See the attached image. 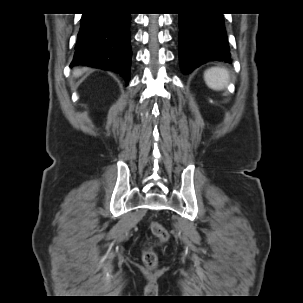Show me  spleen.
<instances>
[{
    "instance_id": "obj_1",
    "label": "spleen",
    "mask_w": 303,
    "mask_h": 303,
    "mask_svg": "<svg viewBox=\"0 0 303 303\" xmlns=\"http://www.w3.org/2000/svg\"><path fill=\"white\" fill-rule=\"evenodd\" d=\"M204 80L209 88L219 91L229 82V73L224 68L212 67L205 71Z\"/></svg>"
}]
</instances>
